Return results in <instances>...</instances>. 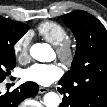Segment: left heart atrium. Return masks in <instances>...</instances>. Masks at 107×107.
I'll return each instance as SVG.
<instances>
[{
  "label": "left heart atrium",
  "mask_w": 107,
  "mask_h": 107,
  "mask_svg": "<svg viewBox=\"0 0 107 107\" xmlns=\"http://www.w3.org/2000/svg\"><path fill=\"white\" fill-rule=\"evenodd\" d=\"M61 76L60 68L55 64H34L23 72L26 81L47 86Z\"/></svg>",
  "instance_id": "left-heart-atrium-1"
}]
</instances>
